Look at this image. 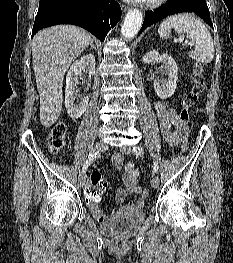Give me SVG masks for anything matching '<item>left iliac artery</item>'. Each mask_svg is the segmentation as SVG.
<instances>
[{
    "instance_id": "left-iliac-artery-1",
    "label": "left iliac artery",
    "mask_w": 233,
    "mask_h": 263,
    "mask_svg": "<svg viewBox=\"0 0 233 263\" xmlns=\"http://www.w3.org/2000/svg\"><path fill=\"white\" fill-rule=\"evenodd\" d=\"M133 152L136 154V155H141L143 154V148L142 147H133ZM158 163L155 161L154 164H153V171L156 173L158 171Z\"/></svg>"
}]
</instances>
